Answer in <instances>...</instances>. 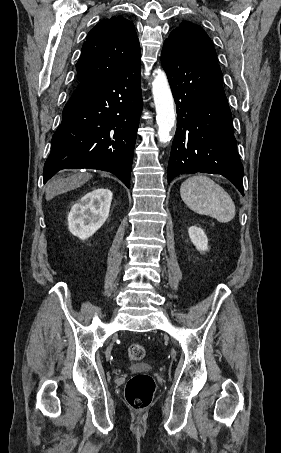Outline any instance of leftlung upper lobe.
Segmentation results:
<instances>
[{"mask_svg": "<svg viewBox=\"0 0 281 453\" xmlns=\"http://www.w3.org/2000/svg\"><path fill=\"white\" fill-rule=\"evenodd\" d=\"M165 42L181 53L193 57H214L216 52L206 32L198 25L184 21L173 30Z\"/></svg>", "mask_w": 281, "mask_h": 453, "instance_id": "left-lung-upper-lobe-1", "label": "left lung upper lobe"}]
</instances>
